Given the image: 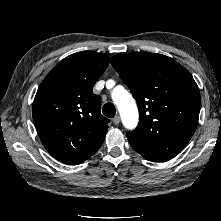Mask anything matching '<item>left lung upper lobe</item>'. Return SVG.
<instances>
[{
	"instance_id": "obj_1",
	"label": "left lung upper lobe",
	"mask_w": 221,
	"mask_h": 221,
	"mask_svg": "<svg viewBox=\"0 0 221 221\" xmlns=\"http://www.w3.org/2000/svg\"><path fill=\"white\" fill-rule=\"evenodd\" d=\"M111 64L138 104L139 124L126 135L131 147L148 160L178 155L199 119L200 93L192 75L172 58L149 52L115 55Z\"/></svg>"
}]
</instances>
